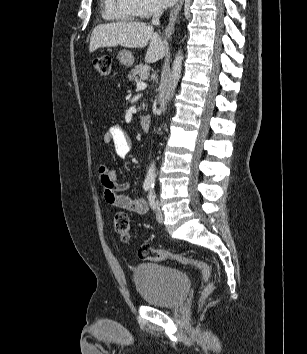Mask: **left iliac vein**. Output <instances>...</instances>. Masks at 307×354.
Wrapping results in <instances>:
<instances>
[{
  "label": "left iliac vein",
  "mask_w": 307,
  "mask_h": 354,
  "mask_svg": "<svg viewBox=\"0 0 307 354\" xmlns=\"http://www.w3.org/2000/svg\"><path fill=\"white\" fill-rule=\"evenodd\" d=\"M156 218L159 223L163 222V213H162L159 202L156 203Z\"/></svg>",
  "instance_id": "4c4485c4"
}]
</instances>
